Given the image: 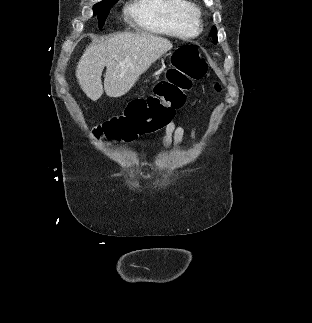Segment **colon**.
<instances>
[{
  "label": "colon",
  "instance_id": "colon-1",
  "mask_svg": "<svg viewBox=\"0 0 312 323\" xmlns=\"http://www.w3.org/2000/svg\"><path fill=\"white\" fill-rule=\"evenodd\" d=\"M206 71L207 63L196 46L178 47L172 54L165 78L156 85V94L131 101L123 115L95 128V138L127 142L164 128L173 121L174 112L184 105L192 81L200 80Z\"/></svg>",
  "mask_w": 312,
  "mask_h": 323
}]
</instances>
